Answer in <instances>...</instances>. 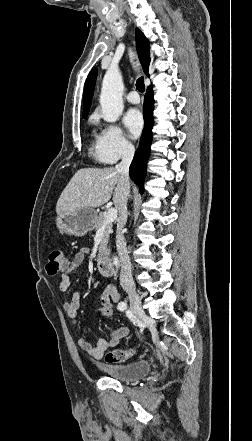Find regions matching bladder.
<instances>
[{
    "mask_svg": "<svg viewBox=\"0 0 252 441\" xmlns=\"http://www.w3.org/2000/svg\"><path fill=\"white\" fill-rule=\"evenodd\" d=\"M98 367L107 377L121 381H135L145 377L151 370L148 360L131 363H102Z\"/></svg>",
    "mask_w": 252,
    "mask_h": 441,
    "instance_id": "31cf9c89",
    "label": "bladder"
}]
</instances>
